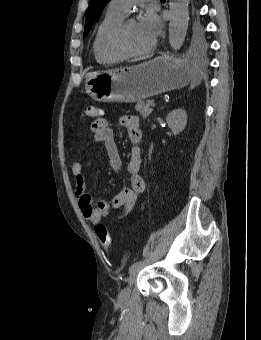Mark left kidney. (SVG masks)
Here are the masks:
<instances>
[{"label": "left kidney", "instance_id": "1", "mask_svg": "<svg viewBox=\"0 0 261 340\" xmlns=\"http://www.w3.org/2000/svg\"><path fill=\"white\" fill-rule=\"evenodd\" d=\"M166 121L168 127L172 130L173 134L176 136L185 129V126L187 124L186 111L184 109H175L167 115Z\"/></svg>", "mask_w": 261, "mask_h": 340}]
</instances>
